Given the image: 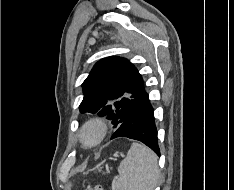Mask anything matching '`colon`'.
<instances>
[{"mask_svg": "<svg viewBox=\"0 0 234 190\" xmlns=\"http://www.w3.org/2000/svg\"><path fill=\"white\" fill-rule=\"evenodd\" d=\"M84 190H103V188L101 186H94V187H88Z\"/></svg>", "mask_w": 234, "mask_h": 190, "instance_id": "5ec220e1", "label": "colon"}]
</instances>
